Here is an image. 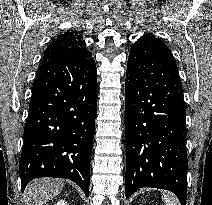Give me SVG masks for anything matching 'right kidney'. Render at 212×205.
<instances>
[{
    "label": "right kidney",
    "mask_w": 212,
    "mask_h": 205,
    "mask_svg": "<svg viewBox=\"0 0 212 205\" xmlns=\"http://www.w3.org/2000/svg\"><path fill=\"white\" fill-rule=\"evenodd\" d=\"M55 205H68L67 202H65L64 200H60L59 202H57Z\"/></svg>",
    "instance_id": "right-kidney-1"
}]
</instances>
